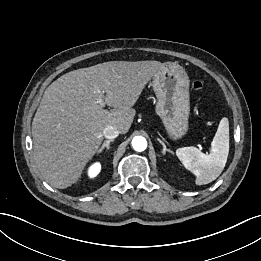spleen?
<instances>
[{"label":"spleen","mask_w":261,"mask_h":261,"mask_svg":"<svg viewBox=\"0 0 261 261\" xmlns=\"http://www.w3.org/2000/svg\"><path fill=\"white\" fill-rule=\"evenodd\" d=\"M229 154V122L222 118L211 143L209 154L202 153L196 147H183L176 155L186 169L195 176L197 185L214 181L223 171Z\"/></svg>","instance_id":"1"}]
</instances>
